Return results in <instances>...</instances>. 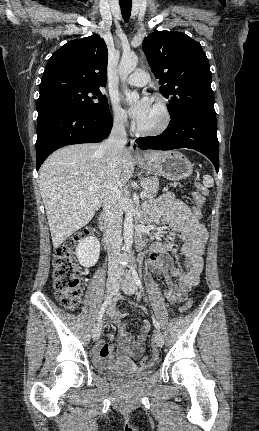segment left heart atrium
Instances as JSON below:
<instances>
[{
  "instance_id": "39dd6f15",
  "label": "left heart atrium",
  "mask_w": 259,
  "mask_h": 431,
  "mask_svg": "<svg viewBox=\"0 0 259 431\" xmlns=\"http://www.w3.org/2000/svg\"><path fill=\"white\" fill-rule=\"evenodd\" d=\"M150 105L151 99L147 96H142L129 107L128 113L133 120L139 122L148 112Z\"/></svg>"
}]
</instances>
